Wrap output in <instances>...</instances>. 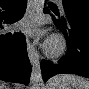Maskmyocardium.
I'll use <instances>...</instances> for the list:
<instances>
[{"label":"myocardium","mask_w":89,"mask_h":89,"mask_svg":"<svg viewBox=\"0 0 89 89\" xmlns=\"http://www.w3.org/2000/svg\"><path fill=\"white\" fill-rule=\"evenodd\" d=\"M67 49V43L63 35L53 34L44 44V51L50 58L62 56Z\"/></svg>","instance_id":"1"}]
</instances>
